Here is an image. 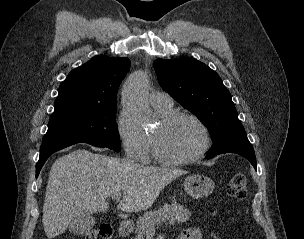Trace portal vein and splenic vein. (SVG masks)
<instances>
[{
	"mask_svg": "<svg viewBox=\"0 0 304 239\" xmlns=\"http://www.w3.org/2000/svg\"><path fill=\"white\" fill-rule=\"evenodd\" d=\"M120 198H121V193H115L112 195V199L119 202L120 201ZM150 230H154V228H150Z\"/></svg>",
	"mask_w": 304,
	"mask_h": 239,
	"instance_id": "portal-vein-and-splenic-vein-1",
	"label": "portal vein and splenic vein"
}]
</instances>
